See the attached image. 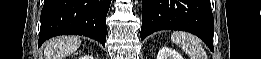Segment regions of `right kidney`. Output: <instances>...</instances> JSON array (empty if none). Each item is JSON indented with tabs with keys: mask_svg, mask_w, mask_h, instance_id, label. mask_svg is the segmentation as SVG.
<instances>
[{
	"mask_svg": "<svg viewBox=\"0 0 261 59\" xmlns=\"http://www.w3.org/2000/svg\"><path fill=\"white\" fill-rule=\"evenodd\" d=\"M81 59H93V57L92 56H84Z\"/></svg>",
	"mask_w": 261,
	"mask_h": 59,
	"instance_id": "obj_1",
	"label": "right kidney"
}]
</instances>
